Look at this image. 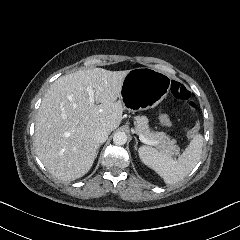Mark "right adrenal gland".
<instances>
[{"mask_svg":"<svg viewBox=\"0 0 240 240\" xmlns=\"http://www.w3.org/2000/svg\"><path fill=\"white\" fill-rule=\"evenodd\" d=\"M99 148H100V145H99V147H98V150H99ZM97 154H98V151H97Z\"/></svg>","mask_w":240,"mask_h":240,"instance_id":"obj_1","label":"right adrenal gland"}]
</instances>
